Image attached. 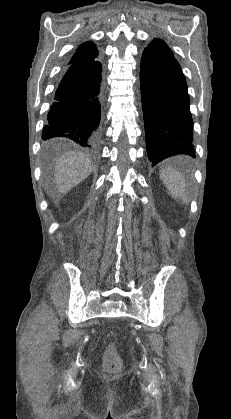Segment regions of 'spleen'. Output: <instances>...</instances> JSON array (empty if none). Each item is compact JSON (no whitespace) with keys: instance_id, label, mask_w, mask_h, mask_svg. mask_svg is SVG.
<instances>
[{"instance_id":"spleen-1","label":"spleen","mask_w":231,"mask_h":419,"mask_svg":"<svg viewBox=\"0 0 231 419\" xmlns=\"http://www.w3.org/2000/svg\"><path fill=\"white\" fill-rule=\"evenodd\" d=\"M160 178L172 197L186 201L185 180L178 171L171 167L163 168L160 170Z\"/></svg>"}]
</instances>
